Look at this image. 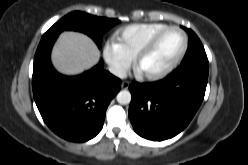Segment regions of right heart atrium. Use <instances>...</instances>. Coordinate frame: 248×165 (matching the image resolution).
<instances>
[{
	"label": "right heart atrium",
	"instance_id": "obj_1",
	"mask_svg": "<svg viewBox=\"0 0 248 165\" xmlns=\"http://www.w3.org/2000/svg\"><path fill=\"white\" fill-rule=\"evenodd\" d=\"M103 57L110 71L117 77H124L132 64L129 57L116 41H108L103 48Z\"/></svg>",
	"mask_w": 248,
	"mask_h": 165
}]
</instances>
